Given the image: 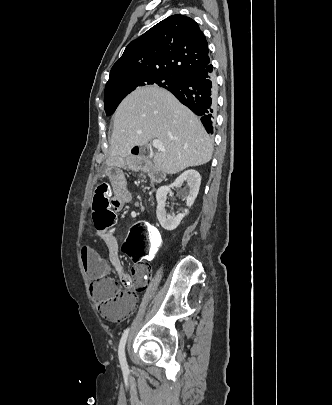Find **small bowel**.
<instances>
[{"instance_id":"1","label":"small bowel","mask_w":332,"mask_h":405,"mask_svg":"<svg viewBox=\"0 0 332 405\" xmlns=\"http://www.w3.org/2000/svg\"><path fill=\"white\" fill-rule=\"evenodd\" d=\"M106 176L110 177L111 185L113 187V194L110 198V205L115 215H127V204L131 201L130 192L127 189L126 182L123 177L127 176L126 168H107ZM101 237L107 243L109 252L111 255V262L120 275L121 281L126 285H131L133 289H141L144 286V282L137 281V274L139 268L133 270L132 274H127L123 271V268L119 259L118 243L113 235L101 234ZM81 260L83 266L89 275V277L95 281L96 279L103 277L109 268V263L104 259L95 249L89 246H83L81 248ZM136 302L133 297L130 298L125 312L111 319H118L131 313L135 308Z\"/></svg>"}]
</instances>
